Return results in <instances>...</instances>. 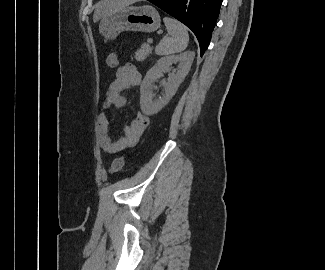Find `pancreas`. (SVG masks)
<instances>
[{
    "mask_svg": "<svg viewBox=\"0 0 325 270\" xmlns=\"http://www.w3.org/2000/svg\"><path fill=\"white\" fill-rule=\"evenodd\" d=\"M151 51L152 48L148 44L144 43L141 45V48L135 53V59L137 61H144L149 56Z\"/></svg>",
    "mask_w": 325,
    "mask_h": 270,
    "instance_id": "cf45deb5",
    "label": "pancreas"
}]
</instances>
